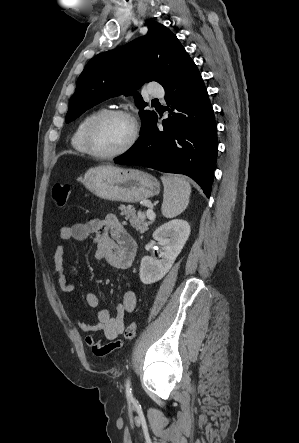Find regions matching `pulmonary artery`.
I'll use <instances>...</instances> for the list:
<instances>
[{
    "mask_svg": "<svg viewBox=\"0 0 299 443\" xmlns=\"http://www.w3.org/2000/svg\"><path fill=\"white\" fill-rule=\"evenodd\" d=\"M149 94L153 97H163L164 96V90L160 85L152 84L149 87Z\"/></svg>",
    "mask_w": 299,
    "mask_h": 443,
    "instance_id": "pulmonary-artery-1",
    "label": "pulmonary artery"
}]
</instances>
